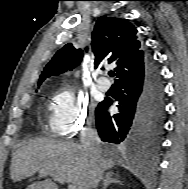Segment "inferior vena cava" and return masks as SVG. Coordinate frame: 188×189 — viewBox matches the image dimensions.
Instances as JSON below:
<instances>
[{
    "label": "inferior vena cava",
    "instance_id": "1",
    "mask_svg": "<svg viewBox=\"0 0 188 189\" xmlns=\"http://www.w3.org/2000/svg\"><path fill=\"white\" fill-rule=\"evenodd\" d=\"M81 146L89 156L91 160V178L90 189H94L98 186L103 176V170L101 167L102 152L100 147V138L97 132L89 124L81 134Z\"/></svg>",
    "mask_w": 188,
    "mask_h": 189
}]
</instances>
